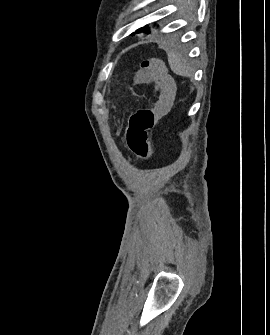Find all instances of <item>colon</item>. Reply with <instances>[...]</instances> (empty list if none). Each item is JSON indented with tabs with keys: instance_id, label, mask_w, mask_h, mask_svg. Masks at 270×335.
I'll return each instance as SVG.
<instances>
[{
	"instance_id": "colon-1",
	"label": "colon",
	"mask_w": 270,
	"mask_h": 335,
	"mask_svg": "<svg viewBox=\"0 0 270 335\" xmlns=\"http://www.w3.org/2000/svg\"><path fill=\"white\" fill-rule=\"evenodd\" d=\"M166 63L161 57H150L141 61L135 82L160 89L153 106L139 108L128 117L124 139L128 150L139 160H145L150 153L149 132L156 127V119L168 115L167 109H175L174 72H164ZM156 109V110H155ZM159 162V157H154Z\"/></svg>"
}]
</instances>
